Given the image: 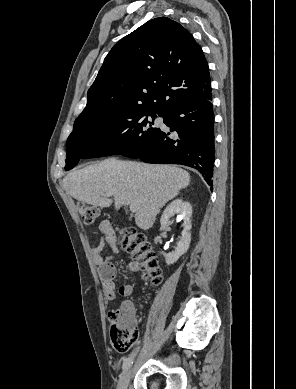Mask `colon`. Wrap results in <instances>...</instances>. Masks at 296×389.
Returning a JSON list of instances; mask_svg holds the SVG:
<instances>
[{
  "mask_svg": "<svg viewBox=\"0 0 296 389\" xmlns=\"http://www.w3.org/2000/svg\"><path fill=\"white\" fill-rule=\"evenodd\" d=\"M78 213L87 225L96 223L99 210L89 204L79 203ZM119 245L126 250L139 264L143 272V279L152 285L162 282V271L158 258L150 243L142 233L127 229L123 232ZM110 337L113 347L119 352H126L136 341L138 331L132 309H116L109 313Z\"/></svg>",
  "mask_w": 296,
  "mask_h": 389,
  "instance_id": "obj_1",
  "label": "colon"
}]
</instances>
